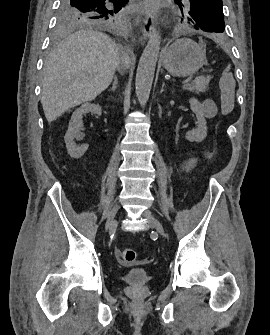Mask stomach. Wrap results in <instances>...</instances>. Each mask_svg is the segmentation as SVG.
Masks as SVG:
<instances>
[{"label": "stomach", "mask_w": 270, "mask_h": 335, "mask_svg": "<svg viewBox=\"0 0 270 335\" xmlns=\"http://www.w3.org/2000/svg\"><path fill=\"white\" fill-rule=\"evenodd\" d=\"M204 42L196 44L190 38L176 40L172 46L162 52L163 64L171 76H191L198 72L206 62Z\"/></svg>", "instance_id": "obj_1"}]
</instances>
